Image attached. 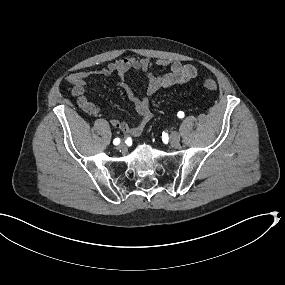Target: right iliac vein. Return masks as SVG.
I'll return each mask as SVG.
<instances>
[{
  "mask_svg": "<svg viewBox=\"0 0 285 285\" xmlns=\"http://www.w3.org/2000/svg\"><path fill=\"white\" fill-rule=\"evenodd\" d=\"M125 147H126L125 143H124V142H121V143L119 144V146H118V149H119V150H123V149H125Z\"/></svg>",
  "mask_w": 285,
  "mask_h": 285,
  "instance_id": "right-iliac-vein-1",
  "label": "right iliac vein"
}]
</instances>
